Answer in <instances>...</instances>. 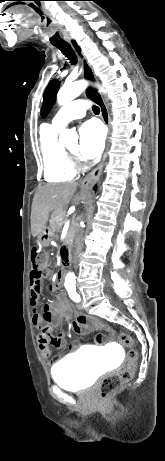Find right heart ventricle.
I'll return each mask as SVG.
<instances>
[{
  "label": "right heart ventricle",
  "instance_id": "1",
  "mask_svg": "<svg viewBox=\"0 0 165 461\" xmlns=\"http://www.w3.org/2000/svg\"><path fill=\"white\" fill-rule=\"evenodd\" d=\"M59 128L43 125L39 133V148L43 160V174L47 182L72 180L76 170L65 149L57 140Z\"/></svg>",
  "mask_w": 165,
  "mask_h": 461
}]
</instances>
